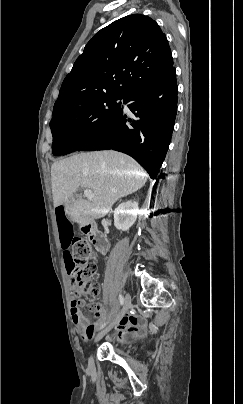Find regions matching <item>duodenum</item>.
Masks as SVG:
<instances>
[{
	"mask_svg": "<svg viewBox=\"0 0 243 404\" xmlns=\"http://www.w3.org/2000/svg\"><path fill=\"white\" fill-rule=\"evenodd\" d=\"M83 231L90 238L91 242H93L96 249L101 254H105L108 247V242L105 235L101 231H99L93 223H88L87 225H85L83 227Z\"/></svg>",
	"mask_w": 243,
	"mask_h": 404,
	"instance_id": "duodenum-1",
	"label": "duodenum"
}]
</instances>
